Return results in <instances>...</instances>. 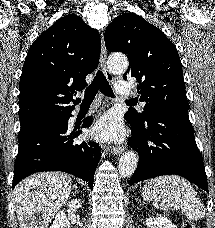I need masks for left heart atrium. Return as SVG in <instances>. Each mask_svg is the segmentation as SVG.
Instances as JSON below:
<instances>
[{"instance_id":"obj_1","label":"left heart atrium","mask_w":215,"mask_h":228,"mask_svg":"<svg viewBox=\"0 0 215 228\" xmlns=\"http://www.w3.org/2000/svg\"><path fill=\"white\" fill-rule=\"evenodd\" d=\"M91 135L104 142H120L125 136V129L118 115L107 112L91 127Z\"/></svg>"}]
</instances>
